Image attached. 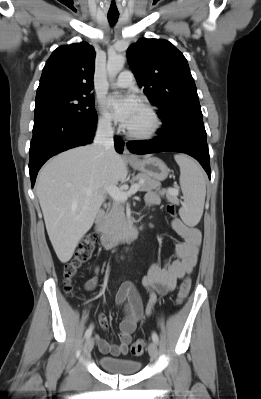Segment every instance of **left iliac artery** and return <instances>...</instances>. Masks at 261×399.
<instances>
[{"label":"left iliac artery","mask_w":261,"mask_h":399,"mask_svg":"<svg viewBox=\"0 0 261 399\" xmlns=\"http://www.w3.org/2000/svg\"><path fill=\"white\" fill-rule=\"evenodd\" d=\"M152 340H153L155 343H158L159 338H158V335H157L156 332H153V333H152Z\"/></svg>","instance_id":"1"}]
</instances>
